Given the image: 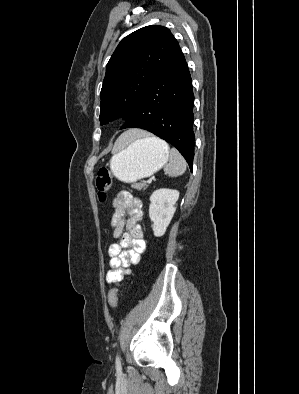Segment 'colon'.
<instances>
[{"label":"colon","mask_w":299,"mask_h":394,"mask_svg":"<svg viewBox=\"0 0 299 394\" xmlns=\"http://www.w3.org/2000/svg\"><path fill=\"white\" fill-rule=\"evenodd\" d=\"M95 185L98 191V199L104 203L107 200L108 191L112 185V175L106 168H101L95 179ZM118 304V287L114 286L109 293V305L116 309Z\"/></svg>","instance_id":"1"}]
</instances>
